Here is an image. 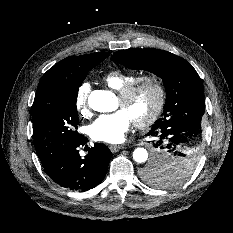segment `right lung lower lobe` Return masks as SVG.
Listing matches in <instances>:
<instances>
[{"label":"right lung lower lobe","mask_w":233,"mask_h":233,"mask_svg":"<svg viewBox=\"0 0 233 233\" xmlns=\"http://www.w3.org/2000/svg\"><path fill=\"white\" fill-rule=\"evenodd\" d=\"M86 142L82 137L59 155L41 159L45 172L55 183L73 191H87L101 183L113 154L107 146L95 143L82 159L77 148Z\"/></svg>","instance_id":"obj_1"}]
</instances>
